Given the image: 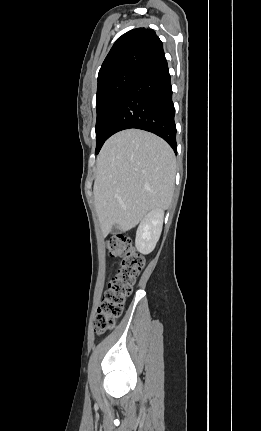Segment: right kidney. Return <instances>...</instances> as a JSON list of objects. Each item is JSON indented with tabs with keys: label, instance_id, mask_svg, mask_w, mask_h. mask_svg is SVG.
Here are the masks:
<instances>
[{
	"label": "right kidney",
	"instance_id": "right-kidney-1",
	"mask_svg": "<svg viewBox=\"0 0 261 431\" xmlns=\"http://www.w3.org/2000/svg\"><path fill=\"white\" fill-rule=\"evenodd\" d=\"M163 220L162 210H152L143 218L135 239V246L140 253L149 254L154 250L162 232Z\"/></svg>",
	"mask_w": 261,
	"mask_h": 431
}]
</instances>
